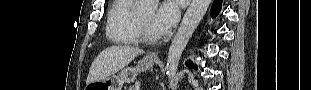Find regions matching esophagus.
I'll use <instances>...</instances> for the list:
<instances>
[{
    "label": "esophagus",
    "mask_w": 311,
    "mask_h": 90,
    "mask_svg": "<svg viewBox=\"0 0 311 90\" xmlns=\"http://www.w3.org/2000/svg\"><path fill=\"white\" fill-rule=\"evenodd\" d=\"M158 54H159L158 51H154V52H151L148 56L150 58L158 59Z\"/></svg>",
    "instance_id": "obj_1"
}]
</instances>
